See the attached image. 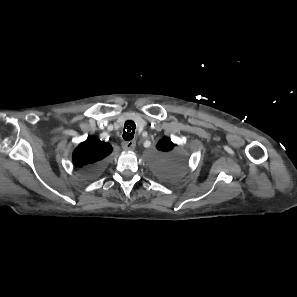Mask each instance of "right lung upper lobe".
<instances>
[{"instance_id": "obj_1", "label": "right lung upper lobe", "mask_w": 297, "mask_h": 297, "mask_svg": "<svg viewBox=\"0 0 297 297\" xmlns=\"http://www.w3.org/2000/svg\"><path fill=\"white\" fill-rule=\"evenodd\" d=\"M109 143L100 141L94 137L82 142L73 152V163L79 168L87 169L98 163L112 152Z\"/></svg>"}]
</instances>
